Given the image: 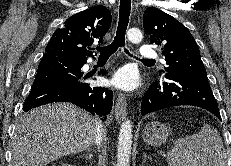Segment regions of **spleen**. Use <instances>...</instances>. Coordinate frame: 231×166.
I'll return each mask as SVG.
<instances>
[{
  "label": "spleen",
  "mask_w": 231,
  "mask_h": 166,
  "mask_svg": "<svg viewBox=\"0 0 231 166\" xmlns=\"http://www.w3.org/2000/svg\"><path fill=\"white\" fill-rule=\"evenodd\" d=\"M166 158L169 166H227L222 138L208 124L199 133L176 140Z\"/></svg>",
  "instance_id": "obj_1"
}]
</instances>
